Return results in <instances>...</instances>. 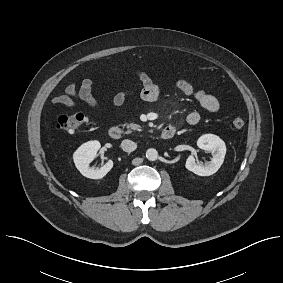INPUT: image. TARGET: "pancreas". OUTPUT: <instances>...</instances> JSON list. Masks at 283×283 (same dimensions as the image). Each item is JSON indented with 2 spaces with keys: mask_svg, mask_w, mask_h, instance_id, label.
I'll return each instance as SVG.
<instances>
[{
  "mask_svg": "<svg viewBox=\"0 0 283 283\" xmlns=\"http://www.w3.org/2000/svg\"><path fill=\"white\" fill-rule=\"evenodd\" d=\"M125 126L129 129L127 133H131V130H141V127L134 123L125 124Z\"/></svg>",
  "mask_w": 283,
  "mask_h": 283,
  "instance_id": "cf45deb5",
  "label": "pancreas"
}]
</instances>
